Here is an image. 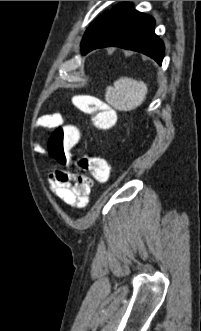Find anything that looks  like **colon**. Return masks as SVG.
I'll return each instance as SVG.
<instances>
[{"label":"colon","mask_w":201,"mask_h":331,"mask_svg":"<svg viewBox=\"0 0 201 331\" xmlns=\"http://www.w3.org/2000/svg\"><path fill=\"white\" fill-rule=\"evenodd\" d=\"M77 108L89 115L93 126L99 130L111 129L117 121L115 110L90 95H80L75 98ZM80 139L79 131L70 126L61 125L54 129L49 142L50 155L62 166L69 164L67 148L75 145ZM75 166L90 173L93 180L99 184H106L110 178V168L105 159L96 156H82L77 159Z\"/></svg>","instance_id":"obj_1"}]
</instances>
